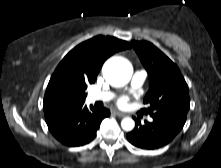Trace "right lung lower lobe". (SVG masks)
I'll use <instances>...</instances> for the list:
<instances>
[{"label":"right lung lower lobe","mask_w":221,"mask_h":168,"mask_svg":"<svg viewBox=\"0 0 221 168\" xmlns=\"http://www.w3.org/2000/svg\"><path fill=\"white\" fill-rule=\"evenodd\" d=\"M45 120L52 135L67 146H81L96 136L101 121L110 115L106 108L90 109L83 103L44 109Z\"/></svg>","instance_id":"right-lung-lower-lobe-1"}]
</instances>
